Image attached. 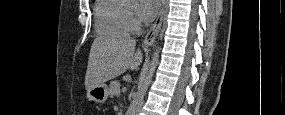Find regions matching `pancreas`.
I'll list each match as a JSON object with an SVG mask.
<instances>
[{
  "label": "pancreas",
  "mask_w": 285,
  "mask_h": 115,
  "mask_svg": "<svg viewBox=\"0 0 285 115\" xmlns=\"http://www.w3.org/2000/svg\"><path fill=\"white\" fill-rule=\"evenodd\" d=\"M120 92V82L118 80H114L110 82L108 93L111 96L118 95Z\"/></svg>",
  "instance_id": "1"
}]
</instances>
